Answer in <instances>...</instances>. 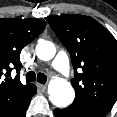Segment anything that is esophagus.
Segmentation results:
<instances>
[{"mask_svg":"<svg viewBox=\"0 0 117 117\" xmlns=\"http://www.w3.org/2000/svg\"><path fill=\"white\" fill-rule=\"evenodd\" d=\"M37 86L41 92H45L47 89V86L43 84H37Z\"/></svg>","mask_w":117,"mask_h":117,"instance_id":"34e87169","label":"esophagus"}]
</instances>
